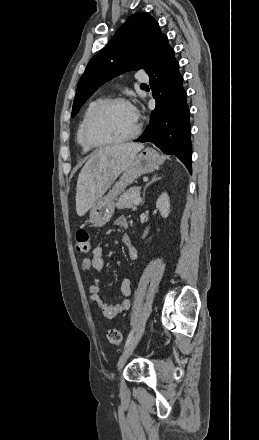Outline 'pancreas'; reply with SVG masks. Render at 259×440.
I'll list each match as a JSON object with an SVG mask.
<instances>
[{
	"label": "pancreas",
	"mask_w": 259,
	"mask_h": 440,
	"mask_svg": "<svg viewBox=\"0 0 259 440\" xmlns=\"http://www.w3.org/2000/svg\"><path fill=\"white\" fill-rule=\"evenodd\" d=\"M140 188L132 187L125 191L118 199L116 207L118 209H132L136 210V205H134V200L139 196Z\"/></svg>",
	"instance_id": "pancreas-1"
}]
</instances>
